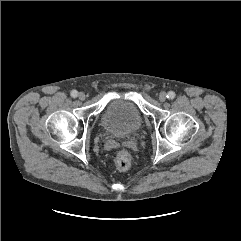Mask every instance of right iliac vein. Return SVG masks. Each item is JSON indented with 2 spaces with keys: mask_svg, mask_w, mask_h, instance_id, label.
<instances>
[{
  "mask_svg": "<svg viewBox=\"0 0 241 241\" xmlns=\"http://www.w3.org/2000/svg\"><path fill=\"white\" fill-rule=\"evenodd\" d=\"M78 98H79L81 101H84V100H85V98H86L85 93L80 92V93L78 94Z\"/></svg>",
  "mask_w": 241,
  "mask_h": 241,
  "instance_id": "63e3f726",
  "label": "right iliac vein"
}]
</instances>
